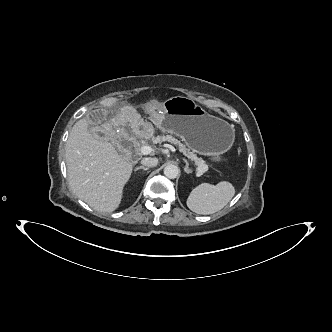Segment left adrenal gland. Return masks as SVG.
I'll return each instance as SVG.
<instances>
[{"instance_id":"obj_1","label":"left adrenal gland","mask_w":332,"mask_h":332,"mask_svg":"<svg viewBox=\"0 0 332 332\" xmlns=\"http://www.w3.org/2000/svg\"><path fill=\"white\" fill-rule=\"evenodd\" d=\"M183 161L185 162L186 166L184 168V172L185 173H190V169H189V163L187 161V159L183 158Z\"/></svg>"}]
</instances>
